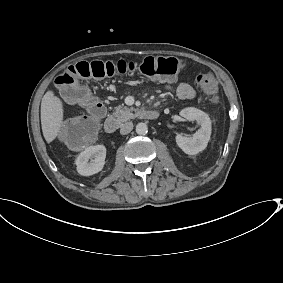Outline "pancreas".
I'll return each mask as SVG.
<instances>
[{
  "instance_id": "1",
  "label": "pancreas",
  "mask_w": 283,
  "mask_h": 283,
  "mask_svg": "<svg viewBox=\"0 0 283 283\" xmlns=\"http://www.w3.org/2000/svg\"><path fill=\"white\" fill-rule=\"evenodd\" d=\"M139 114L138 109L128 108L126 106H117L114 108L113 117L120 123L135 118Z\"/></svg>"
}]
</instances>
